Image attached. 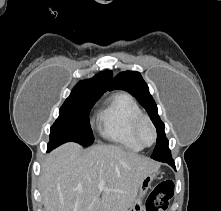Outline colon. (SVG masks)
I'll list each match as a JSON object with an SVG mask.
<instances>
[{"label":"colon","mask_w":221,"mask_h":211,"mask_svg":"<svg viewBox=\"0 0 221 211\" xmlns=\"http://www.w3.org/2000/svg\"><path fill=\"white\" fill-rule=\"evenodd\" d=\"M174 193V184L167 180L157 184L150 192L146 205V211H166Z\"/></svg>","instance_id":"5ec220e1"}]
</instances>
